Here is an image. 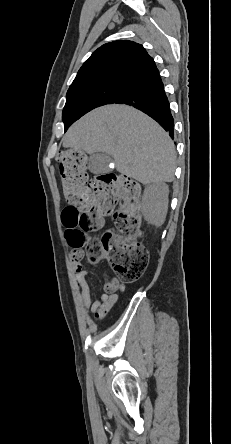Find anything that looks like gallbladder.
Masks as SVG:
<instances>
[{
	"instance_id": "bac80fb5",
	"label": "gallbladder",
	"mask_w": 231,
	"mask_h": 444,
	"mask_svg": "<svg viewBox=\"0 0 231 444\" xmlns=\"http://www.w3.org/2000/svg\"><path fill=\"white\" fill-rule=\"evenodd\" d=\"M111 158L105 153H93L89 158V170L94 174H102L110 171Z\"/></svg>"
}]
</instances>
